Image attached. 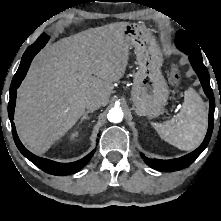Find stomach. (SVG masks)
<instances>
[{
  "mask_svg": "<svg viewBox=\"0 0 221 221\" xmlns=\"http://www.w3.org/2000/svg\"><path fill=\"white\" fill-rule=\"evenodd\" d=\"M137 59L131 98L138 113L149 118L157 117L169 97V88L162 75L163 54L155 40L138 24H128L124 30Z\"/></svg>",
  "mask_w": 221,
  "mask_h": 221,
  "instance_id": "0dacf381",
  "label": "stomach"
}]
</instances>
